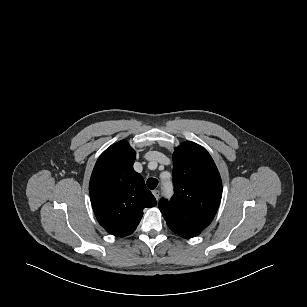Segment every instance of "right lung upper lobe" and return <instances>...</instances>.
Masks as SVG:
<instances>
[{"label":"right lung upper lobe","instance_id":"1","mask_svg":"<svg viewBox=\"0 0 307 307\" xmlns=\"http://www.w3.org/2000/svg\"><path fill=\"white\" fill-rule=\"evenodd\" d=\"M135 157L131 146L119 141L101 154L90 178L93 211L100 225L114 236L134 232L143 209L156 205L143 177L133 169Z\"/></svg>","mask_w":307,"mask_h":307}]
</instances>
